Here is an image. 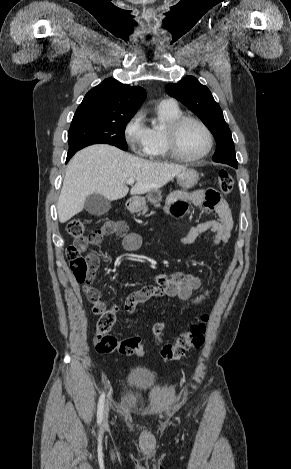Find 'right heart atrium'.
I'll list each match as a JSON object with an SVG mask.
<instances>
[{"label":"right heart atrium","instance_id":"right-heart-atrium-1","mask_svg":"<svg viewBox=\"0 0 291 469\" xmlns=\"http://www.w3.org/2000/svg\"><path fill=\"white\" fill-rule=\"evenodd\" d=\"M149 129L144 122L142 112H137L125 124L123 130L127 146L135 153H144L148 143Z\"/></svg>","mask_w":291,"mask_h":469}]
</instances>
